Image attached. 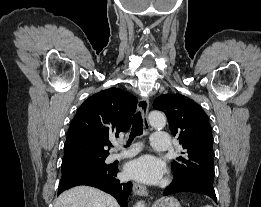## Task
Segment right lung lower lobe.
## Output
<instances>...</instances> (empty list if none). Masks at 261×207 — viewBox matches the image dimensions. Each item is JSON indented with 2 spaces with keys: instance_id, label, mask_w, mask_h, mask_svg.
I'll return each mask as SVG.
<instances>
[{
  "instance_id": "98d812e1",
  "label": "right lung lower lobe",
  "mask_w": 261,
  "mask_h": 207,
  "mask_svg": "<svg viewBox=\"0 0 261 207\" xmlns=\"http://www.w3.org/2000/svg\"><path fill=\"white\" fill-rule=\"evenodd\" d=\"M117 165H107L98 168H84L62 173L58 187V195L63 191L78 185L99 188L114 196L121 207H127V199L132 190L131 182H121L116 178Z\"/></svg>"
}]
</instances>
